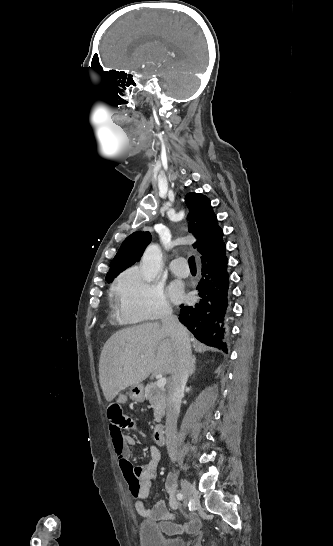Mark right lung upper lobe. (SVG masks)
I'll use <instances>...</instances> for the list:
<instances>
[{
  "instance_id": "1",
  "label": "right lung upper lobe",
  "mask_w": 333,
  "mask_h": 546,
  "mask_svg": "<svg viewBox=\"0 0 333 546\" xmlns=\"http://www.w3.org/2000/svg\"><path fill=\"white\" fill-rule=\"evenodd\" d=\"M185 202L188 207V230L197 239L193 246L201 253V260H207L224 244L223 231L218 226L217 217L206 196L189 193ZM151 239L149 232H134L127 237L111 261L107 275L123 271L138 262Z\"/></svg>"
}]
</instances>
